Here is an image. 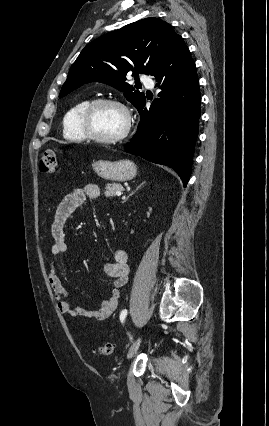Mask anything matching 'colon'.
Returning a JSON list of instances; mask_svg holds the SVG:
<instances>
[{
  "label": "colon",
  "instance_id": "1",
  "mask_svg": "<svg viewBox=\"0 0 269 426\" xmlns=\"http://www.w3.org/2000/svg\"><path fill=\"white\" fill-rule=\"evenodd\" d=\"M57 168V156L55 150L44 151L39 160V169L42 173L52 174ZM114 345L111 342H106L100 345L97 353L103 356L110 355L113 352Z\"/></svg>",
  "mask_w": 269,
  "mask_h": 426
}]
</instances>
